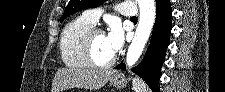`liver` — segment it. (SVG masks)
Listing matches in <instances>:
<instances>
[{"mask_svg": "<svg viewBox=\"0 0 225 92\" xmlns=\"http://www.w3.org/2000/svg\"><path fill=\"white\" fill-rule=\"evenodd\" d=\"M113 73L106 69H58L51 92H62L74 87L97 90L106 85Z\"/></svg>", "mask_w": 225, "mask_h": 92, "instance_id": "obj_1", "label": "liver"}]
</instances>
